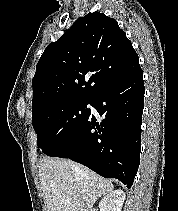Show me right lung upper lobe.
Returning a JSON list of instances; mask_svg holds the SVG:
<instances>
[{"label":"right lung upper lobe","instance_id":"cb5924a9","mask_svg":"<svg viewBox=\"0 0 178 211\" xmlns=\"http://www.w3.org/2000/svg\"><path fill=\"white\" fill-rule=\"evenodd\" d=\"M139 68L138 55L117 21L89 13L49 44L39 59L33 77V115L59 101L92 99Z\"/></svg>","mask_w":178,"mask_h":211}]
</instances>
